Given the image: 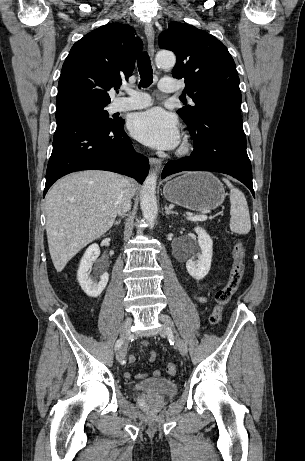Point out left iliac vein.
Listing matches in <instances>:
<instances>
[{"mask_svg": "<svg viewBox=\"0 0 305 461\" xmlns=\"http://www.w3.org/2000/svg\"><path fill=\"white\" fill-rule=\"evenodd\" d=\"M159 320L163 323V325L159 329V334L162 337L173 336L174 324L172 319L165 314H160ZM175 341L179 352L182 355H186L188 351L186 343L180 337L177 336L175 337Z\"/></svg>", "mask_w": 305, "mask_h": 461, "instance_id": "1", "label": "left iliac vein"}]
</instances>
